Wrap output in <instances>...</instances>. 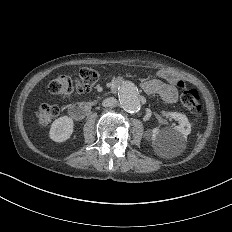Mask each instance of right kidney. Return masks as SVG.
<instances>
[{
    "instance_id": "obj_1",
    "label": "right kidney",
    "mask_w": 232,
    "mask_h": 232,
    "mask_svg": "<svg viewBox=\"0 0 232 232\" xmlns=\"http://www.w3.org/2000/svg\"><path fill=\"white\" fill-rule=\"evenodd\" d=\"M73 121L69 117H61L52 123L50 137L52 140L62 142L72 133Z\"/></svg>"
}]
</instances>
